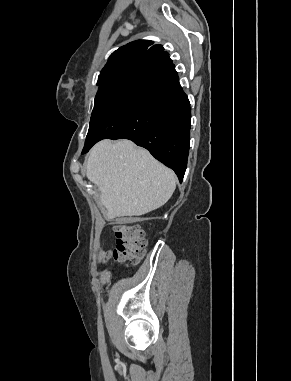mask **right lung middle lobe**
I'll return each mask as SVG.
<instances>
[{"label":"right lung middle lobe","instance_id":"right-lung-middle-lobe-1","mask_svg":"<svg viewBox=\"0 0 291 381\" xmlns=\"http://www.w3.org/2000/svg\"><path fill=\"white\" fill-rule=\"evenodd\" d=\"M141 80L142 77L128 78L97 92L84 149L102 139L118 136Z\"/></svg>","mask_w":291,"mask_h":381}]
</instances>
